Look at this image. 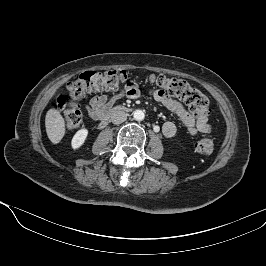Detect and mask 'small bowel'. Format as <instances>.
<instances>
[{"mask_svg":"<svg viewBox=\"0 0 266 266\" xmlns=\"http://www.w3.org/2000/svg\"><path fill=\"white\" fill-rule=\"evenodd\" d=\"M140 89L137 85L129 83L125 88L111 97L106 95H99L91 98L89 104L86 106V111L88 116L94 121H101L106 111L111 107V105L124 97L130 99H137L140 97ZM150 95L158 102L163 104L166 108L172 111L177 117L180 124L191 134L202 133L206 134L211 131V125L209 123L208 114L199 115L195 118L191 115L185 106L173 98L169 94L160 91L153 90ZM177 132L176 125L167 121L162 126V133L166 137H173Z\"/></svg>","mask_w":266,"mask_h":266,"instance_id":"small-bowel-1","label":"small bowel"}]
</instances>
